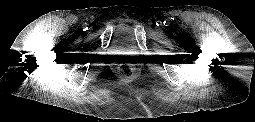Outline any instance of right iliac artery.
I'll use <instances>...</instances> for the list:
<instances>
[{"instance_id":"1","label":"right iliac artery","mask_w":255,"mask_h":122,"mask_svg":"<svg viewBox=\"0 0 255 122\" xmlns=\"http://www.w3.org/2000/svg\"><path fill=\"white\" fill-rule=\"evenodd\" d=\"M88 29V25L85 23L84 25H83V30H87Z\"/></svg>"}]
</instances>
